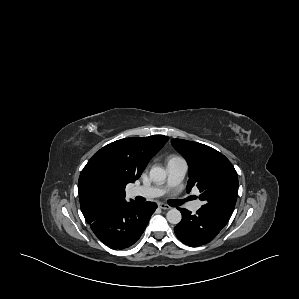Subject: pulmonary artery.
<instances>
[{"label":"pulmonary artery","mask_w":299,"mask_h":299,"mask_svg":"<svg viewBox=\"0 0 299 299\" xmlns=\"http://www.w3.org/2000/svg\"><path fill=\"white\" fill-rule=\"evenodd\" d=\"M168 178L164 186H140L132 190L135 196L147 198L159 197L168 189L176 187L184 179L187 172V163L183 159H173L167 164ZM201 207L200 201H194L189 204V209L197 211Z\"/></svg>","instance_id":"obj_1"}]
</instances>
